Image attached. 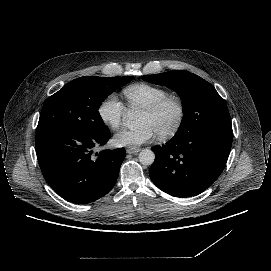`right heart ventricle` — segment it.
Instances as JSON below:
<instances>
[{"label":"right heart ventricle","mask_w":271,"mask_h":271,"mask_svg":"<svg viewBox=\"0 0 271 271\" xmlns=\"http://www.w3.org/2000/svg\"><path fill=\"white\" fill-rule=\"evenodd\" d=\"M129 106L132 109H144L157 100L169 95V92L160 86L149 83H135L123 89Z\"/></svg>","instance_id":"1"}]
</instances>
